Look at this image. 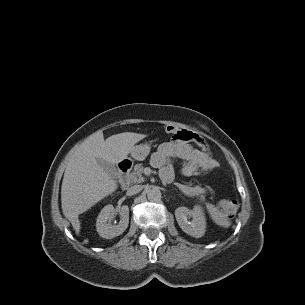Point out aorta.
Here are the masks:
<instances>
[{
    "mask_svg": "<svg viewBox=\"0 0 305 305\" xmlns=\"http://www.w3.org/2000/svg\"><path fill=\"white\" fill-rule=\"evenodd\" d=\"M147 198L150 201H159L161 199V191L157 187L151 188L147 192Z\"/></svg>",
    "mask_w": 305,
    "mask_h": 305,
    "instance_id": "762f6f07",
    "label": "aorta"
}]
</instances>
